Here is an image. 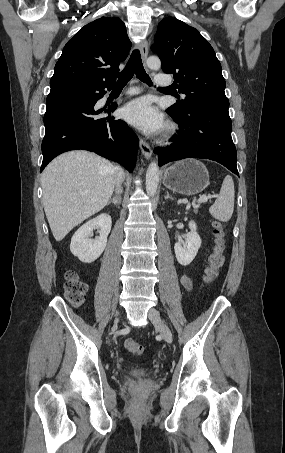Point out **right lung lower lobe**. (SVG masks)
<instances>
[{
    "instance_id": "1",
    "label": "right lung lower lobe",
    "mask_w": 285,
    "mask_h": 453,
    "mask_svg": "<svg viewBox=\"0 0 285 453\" xmlns=\"http://www.w3.org/2000/svg\"><path fill=\"white\" fill-rule=\"evenodd\" d=\"M105 93L103 88L94 90L80 85L51 87L46 99L40 172L59 154L77 149L95 152L133 171L137 136L124 121L110 116L116 105L105 110L109 114L105 118L98 115L102 110H94Z\"/></svg>"
}]
</instances>
